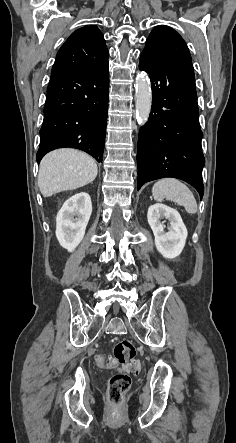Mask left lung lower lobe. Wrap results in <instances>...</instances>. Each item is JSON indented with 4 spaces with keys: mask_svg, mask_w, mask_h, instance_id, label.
<instances>
[{
    "mask_svg": "<svg viewBox=\"0 0 236 443\" xmlns=\"http://www.w3.org/2000/svg\"><path fill=\"white\" fill-rule=\"evenodd\" d=\"M139 69L149 73L152 107L138 138V189L173 177L191 184L203 197L202 131L192 62L155 59L144 53Z\"/></svg>",
    "mask_w": 236,
    "mask_h": 443,
    "instance_id": "obj_1",
    "label": "left lung lower lobe"
}]
</instances>
